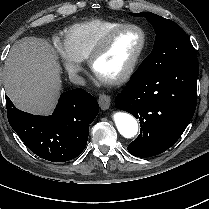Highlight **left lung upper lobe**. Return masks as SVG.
I'll use <instances>...</instances> for the list:
<instances>
[{"mask_svg":"<svg viewBox=\"0 0 209 209\" xmlns=\"http://www.w3.org/2000/svg\"><path fill=\"white\" fill-rule=\"evenodd\" d=\"M130 14L145 17L156 32L154 48L138 69L148 70L154 74L197 58L191 42L175 22L150 12Z\"/></svg>","mask_w":209,"mask_h":209,"instance_id":"1","label":"left lung upper lobe"}]
</instances>
